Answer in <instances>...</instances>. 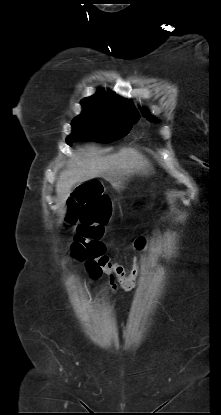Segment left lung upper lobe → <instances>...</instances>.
Returning a JSON list of instances; mask_svg holds the SVG:
<instances>
[{"instance_id":"obj_1","label":"left lung upper lobe","mask_w":221,"mask_h":415,"mask_svg":"<svg viewBox=\"0 0 221 415\" xmlns=\"http://www.w3.org/2000/svg\"><path fill=\"white\" fill-rule=\"evenodd\" d=\"M143 115H144V117H146L149 121H151V122H157L152 116H150L149 115V113L148 112H146V111H143Z\"/></svg>"}]
</instances>
